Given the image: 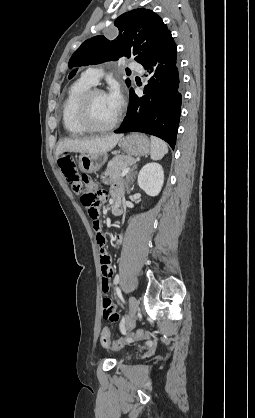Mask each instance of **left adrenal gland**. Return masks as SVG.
Masks as SVG:
<instances>
[{
    "mask_svg": "<svg viewBox=\"0 0 255 418\" xmlns=\"http://www.w3.org/2000/svg\"><path fill=\"white\" fill-rule=\"evenodd\" d=\"M137 168V165H134V167L132 168V170L130 171L128 178L132 175L133 171Z\"/></svg>",
    "mask_w": 255,
    "mask_h": 418,
    "instance_id": "left-adrenal-gland-1",
    "label": "left adrenal gland"
}]
</instances>
